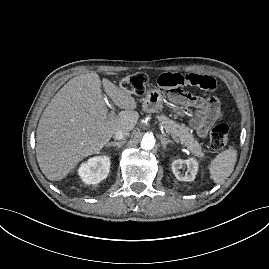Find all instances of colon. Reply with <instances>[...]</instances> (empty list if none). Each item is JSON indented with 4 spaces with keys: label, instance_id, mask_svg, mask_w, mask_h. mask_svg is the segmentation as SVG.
<instances>
[{
    "label": "colon",
    "instance_id": "5ec220e1",
    "mask_svg": "<svg viewBox=\"0 0 269 269\" xmlns=\"http://www.w3.org/2000/svg\"><path fill=\"white\" fill-rule=\"evenodd\" d=\"M147 82L148 78L145 74L137 73L125 77L121 81L120 86L123 91L129 94L143 95L146 91ZM202 97L213 103H218L221 100V95L215 90L210 89H205L202 92ZM209 140L210 145L214 150H221L226 147L230 140L229 126L226 124H219L213 127L210 131Z\"/></svg>",
    "mask_w": 269,
    "mask_h": 269
}]
</instances>
